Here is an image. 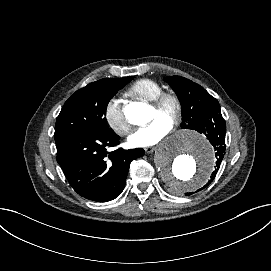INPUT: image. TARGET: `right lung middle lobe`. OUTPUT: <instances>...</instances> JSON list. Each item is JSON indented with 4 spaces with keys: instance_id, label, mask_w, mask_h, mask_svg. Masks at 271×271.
<instances>
[{
    "instance_id": "dd1d6c3e",
    "label": "right lung middle lobe",
    "mask_w": 271,
    "mask_h": 271,
    "mask_svg": "<svg viewBox=\"0 0 271 271\" xmlns=\"http://www.w3.org/2000/svg\"><path fill=\"white\" fill-rule=\"evenodd\" d=\"M132 78H104L72 94L57 118L55 141L74 133H111L104 117L107 105Z\"/></svg>"
}]
</instances>
